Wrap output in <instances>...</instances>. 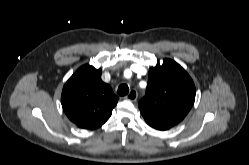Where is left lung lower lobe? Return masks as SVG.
I'll return each mask as SVG.
<instances>
[{
    "instance_id": "0a47b994",
    "label": "left lung lower lobe",
    "mask_w": 249,
    "mask_h": 165,
    "mask_svg": "<svg viewBox=\"0 0 249 165\" xmlns=\"http://www.w3.org/2000/svg\"><path fill=\"white\" fill-rule=\"evenodd\" d=\"M150 126H151V125H150ZM151 127L155 128V129H157V130H167V129H169V128L159 127V126H151Z\"/></svg>"
}]
</instances>
